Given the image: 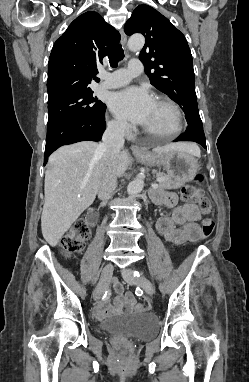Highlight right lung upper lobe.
I'll return each instance as SVG.
<instances>
[{
	"mask_svg": "<svg viewBox=\"0 0 249 382\" xmlns=\"http://www.w3.org/2000/svg\"><path fill=\"white\" fill-rule=\"evenodd\" d=\"M120 41V34L100 14L77 17L55 42L48 63V103L91 90L97 63Z\"/></svg>",
	"mask_w": 249,
	"mask_h": 382,
	"instance_id": "1",
	"label": "right lung upper lobe"
}]
</instances>
